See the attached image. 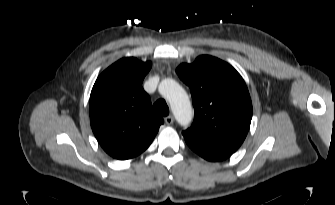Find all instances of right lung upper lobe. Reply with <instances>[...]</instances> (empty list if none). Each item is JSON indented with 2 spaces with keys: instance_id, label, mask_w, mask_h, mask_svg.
I'll return each instance as SVG.
<instances>
[{
  "instance_id": "right-lung-upper-lobe-1",
  "label": "right lung upper lobe",
  "mask_w": 335,
  "mask_h": 205,
  "mask_svg": "<svg viewBox=\"0 0 335 205\" xmlns=\"http://www.w3.org/2000/svg\"><path fill=\"white\" fill-rule=\"evenodd\" d=\"M152 63L122 58L97 78L90 95L92 131L113 158L127 160L146 150L164 120L151 110L142 88Z\"/></svg>"
}]
</instances>
